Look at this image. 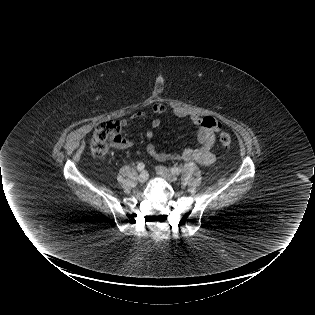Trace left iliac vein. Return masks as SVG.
I'll return each instance as SVG.
<instances>
[{"mask_svg": "<svg viewBox=\"0 0 315 315\" xmlns=\"http://www.w3.org/2000/svg\"><path fill=\"white\" fill-rule=\"evenodd\" d=\"M157 174L168 181H175L176 180V177L173 174H171V172L164 167H158L157 168Z\"/></svg>", "mask_w": 315, "mask_h": 315, "instance_id": "1", "label": "left iliac vein"}]
</instances>
